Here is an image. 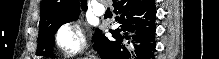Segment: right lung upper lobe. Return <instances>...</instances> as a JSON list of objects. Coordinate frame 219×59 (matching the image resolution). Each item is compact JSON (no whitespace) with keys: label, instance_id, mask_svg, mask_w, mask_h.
<instances>
[{"label":"right lung upper lobe","instance_id":"cb5924a9","mask_svg":"<svg viewBox=\"0 0 219 59\" xmlns=\"http://www.w3.org/2000/svg\"><path fill=\"white\" fill-rule=\"evenodd\" d=\"M82 10L87 9L86 0H81ZM79 0H42L39 28L47 24L79 15Z\"/></svg>","mask_w":219,"mask_h":59}]
</instances>
